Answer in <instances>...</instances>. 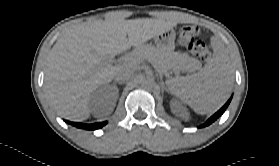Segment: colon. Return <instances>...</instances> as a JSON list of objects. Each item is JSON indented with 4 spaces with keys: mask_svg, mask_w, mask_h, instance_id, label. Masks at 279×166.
<instances>
[{
    "mask_svg": "<svg viewBox=\"0 0 279 166\" xmlns=\"http://www.w3.org/2000/svg\"><path fill=\"white\" fill-rule=\"evenodd\" d=\"M178 40L181 46L189 50L199 59L206 61L210 58V50L200 37V29L195 25H185L178 29Z\"/></svg>",
    "mask_w": 279,
    "mask_h": 166,
    "instance_id": "5ec220e1",
    "label": "colon"
}]
</instances>
